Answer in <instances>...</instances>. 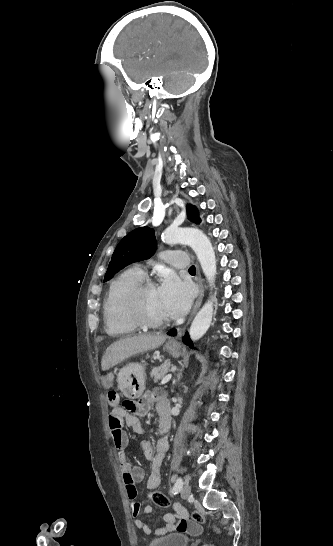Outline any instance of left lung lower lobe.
<instances>
[{
	"mask_svg": "<svg viewBox=\"0 0 333 546\" xmlns=\"http://www.w3.org/2000/svg\"><path fill=\"white\" fill-rule=\"evenodd\" d=\"M168 335L175 336L176 335V330L169 331ZM183 342L186 345H188L189 347L193 348V344H192V341L190 340V337H189L188 333H186V335L183 337Z\"/></svg>",
	"mask_w": 333,
	"mask_h": 546,
	"instance_id": "0a47b994",
	"label": "left lung lower lobe"
}]
</instances>
